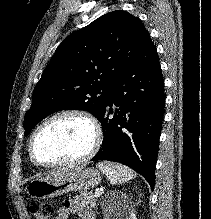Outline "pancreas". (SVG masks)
<instances>
[{
    "label": "pancreas",
    "instance_id": "1",
    "mask_svg": "<svg viewBox=\"0 0 211 219\" xmlns=\"http://www.w3.org/2000/svg\"><path fill=\"white\" fill-rule=\"evenodd\" d=\"M81 196L83 203L90 205L92 208H95L96 196L93 194V192H83Z\"/></svg>",
    "mask_w": 211,
    "mask_h": 219
}]
</instances>
